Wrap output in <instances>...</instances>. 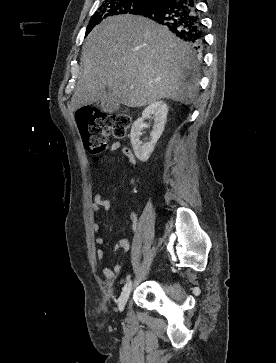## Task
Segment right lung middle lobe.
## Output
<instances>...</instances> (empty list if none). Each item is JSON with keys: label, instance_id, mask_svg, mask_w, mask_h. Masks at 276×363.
Returning a JSON list of instances; mask_svg holds the SVG:
<instances>
[{"label": "right lung middle lobe", "instance_id": "right-lung-middle-lobe-1", "mask_svg": "<svg viewBox=\"0 0 276 363\" xmlns=\"http://www.w3.org/2000/svg\"><path fill=\"white\" fill-rule=\"evenodd\" d=\"M153 4L154 0H104L91 17L85 35L87 36L94 26L108 17L121 14L140 15Z\"/></svg>", "mask_w": 276, "mask_h": 363}]
</instances>
